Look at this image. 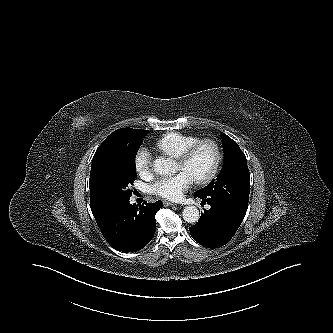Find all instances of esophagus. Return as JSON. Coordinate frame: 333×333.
I'll return each mask as SVG.
<instances>
[{"mask_svg": "<svg viewBox=\"0 0 333 333\" xmlns=\"http://www.w3.org/2000/svg\"><path fill=\"white\" fill-rule=\"evenodd\" d=\"M163 204H164L165 206H175V205H177V204L172 203V202H169V201H167V200H163Z\"/></svg>", "mask_w": 333, "mask_h": 333, "instance_id": "1", "label": "esophagus"}]
</instances>
